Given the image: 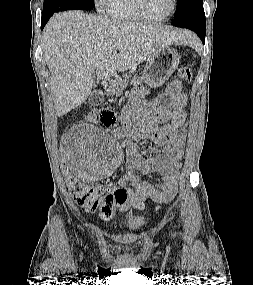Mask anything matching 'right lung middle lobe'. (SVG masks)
Segmentation results:
<instances>
[{
  "label": "right lung middle lobe",
  "mask_w": 253,
  "mask_h": 285,
  "mask_svg": "<svg viewBox=\"0 0 253 285\" xmlns=\"http://www.w3.org/2000/svg\"><path fill=\"white\" fill-rule=\"evenodd\" d=\"M95 7L93 0H44L43 12H59L64 10H90Z\"/></svg>",
  "instance_id": "right-lung-middle-lobe-1"
}]
</instances>
